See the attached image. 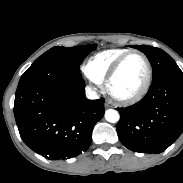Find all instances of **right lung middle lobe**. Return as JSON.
Segmentation results:
<instances>
[{
	"label": "right lung middle lobe",
	"mask_w": 183,
	"mask_h": 183,
	"mask_svg": "<svg viewBox=\"0 0 183 183\" xmlns=\"http://www.w3.org/2000/svg\"><path fill=\"white\" fill-rule=\"evenodd\" d=\"M95 48L94 45L70 48L63 46L53 47L38 57L21 76L20 80L79 74V65Z\"/></svg>",
	"instance_id": "obj_1"
}]
</instances>
